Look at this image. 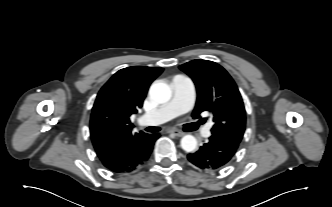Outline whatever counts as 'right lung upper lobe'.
I'll return each instance as SVG.
<instances>
[{
	"label": "right lung upper lobe",
	"instance_id": "cb5924a9",
	"mask_svg": "<svg viewBox=\"0 0 332 207\" xmlns=\"http://www.w3.org/2000/svg\"><path fill=\"white\" fill-rule=\"evenodd\" d=\"M163 68L133 66L119 70L101 88L90 119V135L97 156L118 154L136 138L130 115L142 107L148 88Z\"/></svg>",
	"mask_w": 332,
	"mask_h": 207
}]
</instances>
